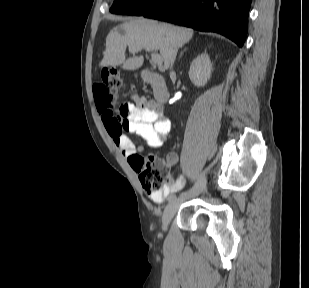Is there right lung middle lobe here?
Instances as JSON below:
<instances>
[{
  "label": "right lung middle lobe",
  "mask_w": 309,
  "mask_h": 288,
  "mask_svg": "<svg viewBox=\"0 0 309 288\" xmlns=\"http://www.w3.org/2000/svg\"><path fill=\"white\" fill-rule=\"evenodd\" d=\"M165 0H115L110 12L141 16L160 5Z\"/></svg>",
  "instance_id": "right-lung-middle-lobe-1"
}]
</instances>
